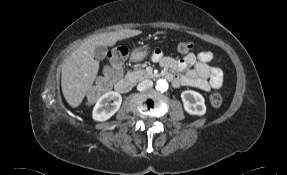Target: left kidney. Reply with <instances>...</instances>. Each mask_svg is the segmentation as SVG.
Returning a JSON list of instances; mask_svg holds the SVG:
<instances>
[{"instance_id": "5707ae66", "label": "left kidney", "mask_w": 287, "mask_h": 175, "mask_svg": "<svg viewBox=\"0 0 287 175\" xmlns=\"http://www.w3.org/2000/svg\"><path fill=\"white\" fill-rule=\"evenodd\" d=\"M184 109L192 115L202 116L206 113L204 97L192 90H186L181 93Z\"/></svg>"}]
</instances>
